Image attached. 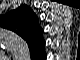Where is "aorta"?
Instances as JSON below:
<instances>
[{"label": "aorta", "mask_w": 80, "mask_h": 60, "mask_svg": "<svg viewBox=\"0 0 80 60\" xmlns=\"http://www.w3.org/2000/svg\"><path fill=\"white\" fill-rule=\"evenodd\" d=\"M8 48L15 54L20 52H27V43L19 36L6 32L4 35Z\"/></svg>", "instance_id": "762f6f07"}]
</instances>
